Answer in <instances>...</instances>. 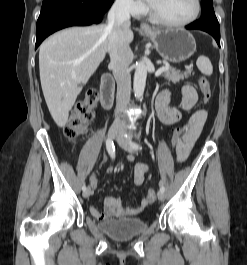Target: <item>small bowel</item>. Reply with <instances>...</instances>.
I'll return each instance as SVG.
<instances>
[{"mask_svg": "<svg viewBox=\"0 0 247 265\" xmlns=\"http://www.w3.org/2000/svg\"><path fill=\"white\" fill-rule=\"evenodd\" d=\"M170 93L167 90H163L156 100V111L159 120L165 125H174L178 123L184 112L191 111L198 102V94L195 88L191 85H185L182 88V104L181 109L169 107ZM207 119V113L205 110L199 109L194 111L185 125L182 127L180 136V146L177 151V159L179 162H183L187 159L190 151L201 134L204 124ZM133 157H129V161L132 162ZM148 171L147 164L139 162L134 167V183L137 186H142L145 181V176ZM98 180L95 174L91 175L89 179V185L91 189L97 187ZM148 206L145 198L134 207L125 208L119 198L110 197L104 201V210L100 211L96 207L91 206L89 211L91 215L99 220H108L111 218H121L126 216H134L143 212Z\"/></svg>", "mask_w": 247, "mask_h": 265, "instance_id": "obj_1", "label": "small bowel"}]
</instances>
